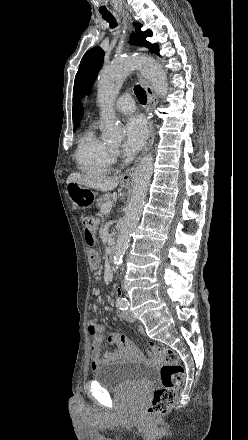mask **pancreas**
Returning a JSON list of instances; mask_svg holds the SVG:
<instances>
[{
	"mask_svg": "<svg viewBox=\"0 0 248 440\" xmlns=\"http://www.w3.org/2000/svg\"><path fill=\"white\" fill-rule=\"evenodd\" d=\"M111 203H112V200H111V195L110 194H104L101 197H99L97 199V207L99 208L100 213L103 214L104 213L103 207L106 206V205H109Z\"/></svg>",
	"mask_w": 248,
	"mask_h": 440,
	"instance_id": "cf45deb5",
	"label": "pancreas"
}]
</instances>
